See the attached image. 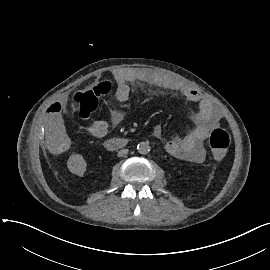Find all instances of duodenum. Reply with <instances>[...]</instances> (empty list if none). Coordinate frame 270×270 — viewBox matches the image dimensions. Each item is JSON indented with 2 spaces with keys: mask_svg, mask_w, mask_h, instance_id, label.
I'll use <instances>...</instances> for the list:
<instances>
[{
  "mask_svg": "<svg viewBox=\"0 0 270 270\" xmlns=\"http://www.w3.org/2000/svg\"><path fill=\"white\" fill-rule=\"evenodd\" d=\"M128 141L124 138H111L105 142V147L108 150H116L127 145Z\"/></svg>",
  "mask_w": 270,
  "mask_h": 270,
  "instance_id": "410a0bca",
  "label": "duodenum"
}]
</instances>
